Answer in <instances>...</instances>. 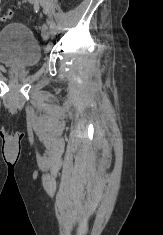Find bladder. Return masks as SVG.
Segmentation results:
<instances>
[{
  "instance_id": "obj_1",
  "label": "bladder",
  "mask_w": 163,
  "mask_h": 235,
  "mask_svg": "<svg viewBox=\"0 0 163 235\" xmlns=\"http://www.w3.org/2000/svg\"><path fill=\"white\" fill-rule=\"evenodd\" d=\"M40 60L41 48L27 25L9 23L0 29V64L31 68Z\"/></svg>"
}]
</instances>
